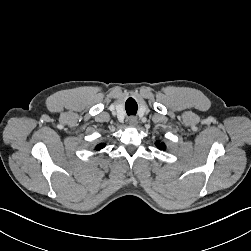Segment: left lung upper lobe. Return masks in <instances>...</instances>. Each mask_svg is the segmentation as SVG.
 Instances as JSON below:
<instances>
[{
  "label": "left lung upper lobe",
  "instance_id": "obj_1",
  "mask_svg": "<svg viewBox=\"0 0 251 251\" xmlns=\"http://www.w3.org/2000/svg\"><path fill=\"white\" fill-rule=\"evenodd\" d=\"M156 146L160 149V150H165L166 146L164 145V143H160L159 141L156 142Z\"/></svg>",
  "mask_w": 251,
  "mask_h": 251
}]
</instances>
